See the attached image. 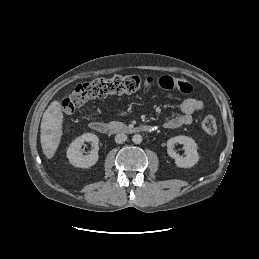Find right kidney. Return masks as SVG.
Listing matches in <instances>:
<instances>
[{"label":"right kidney","instance_id":"obj_1","mask_svg":"<svg viewBox=\"0 0 259 259\" xmlns=\"http://www.w3.org/2000/svg\"><path fill=\"white\" fill-rule=\"evenodd\" d=\"M84 142H92L93 150L89 155H83L81 152L82 145ZM98 143L99 138L93 133H84L77 137L67 149V158L69 162L78 168H90L95 165L98 161Z\"/></svg>","mask_w":259,"mask_h":259}]
</instances>
